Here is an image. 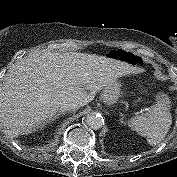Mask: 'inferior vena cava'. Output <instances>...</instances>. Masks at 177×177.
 <instances>
[{"mask_svg":"<svg viewBox=\"0 0 177 177\" xmlns=\"http://www.w3.org/2000/svg\"><path fill=\"white\" fill-rule=\"evenodd\" d=\"M80 107L79 103L77 102H66L60 105V111H76Z\"/></svg>","mask_w":177,"mask_h":177,"instance_id":"obj_1","label":"inferior vena cava"}]
</instances>
